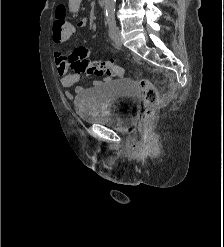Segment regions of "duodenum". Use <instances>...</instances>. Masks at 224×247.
<instances>
[{"mask_svg":"<svg viewBox=\"0 0 224 247\" xmlns=\"http://www.w3.org/2000/svg\"><path fill=\"white\" fill-rule=\"evenodd\" d=\"M106 5V0H98V6L99 8H103Z\"/></svg>","mask_w":224,"mask_h":247,"instance_id":"1","label":"duodenum"}]
</instances>
